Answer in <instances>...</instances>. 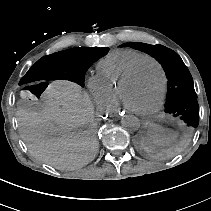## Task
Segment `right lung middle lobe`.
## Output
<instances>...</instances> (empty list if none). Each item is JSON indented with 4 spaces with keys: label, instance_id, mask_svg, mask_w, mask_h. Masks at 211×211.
Segmentation results:
<instances>
[{
    "label": "right lung middle lobe",
    "instance_id": "obj_1",
    "mask_svg": "<svg viewBox=\"0 0 211 211\" xmlns=\"http://www.w3.org/2000/svg\"><path fill=\"white\" fill-rule=\"evenodd\" d=\"M109 51V48H99V47H81L72 48L69 50L61 51L55 53L54 56H58L59 60L69 59L71 60L74 68L72 74L65 72H58V70L52 65L50 68L45 67L42 69L40 79L44 80H56V79H68L78 83L79 85H84V77L88 68L96 62L101 57L105 56Z\"/></svg>",
    "mask_w": 211,
    "mask_h": 211
}]
</instances>
